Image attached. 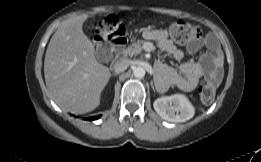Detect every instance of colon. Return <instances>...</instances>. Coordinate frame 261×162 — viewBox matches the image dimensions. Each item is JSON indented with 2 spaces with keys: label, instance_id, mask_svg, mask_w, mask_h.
Returning a JSON list of instances; mask_svg holds the SVG:
<instances>
[{
  "label": "colon",
  "instance_id": "obj_1",
  "mask_svg": "<svg viewBox=\"0 0 261 162\" xmlns=\"http://www.w3.org/2000/svg\"><path fill=\"white\" fill-rule=\"evenodd\" d=\"M171 38L178 43H189L199 37V26L185 20H175L168 28ZM96 54L101 60H110L113 55V46L126 42V30L118 15L109 13L94 23ZM216 83L204 79L199 86V95L202 104H210L215 96Z\"/></svg>",
  "mask_w": 261,
  "mask_h": 162
}]
</instances>
